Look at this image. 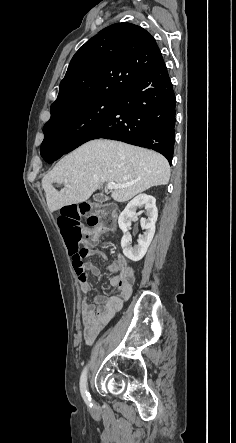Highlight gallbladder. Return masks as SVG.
<instances>
[{"label": "gallbladder", "instance_id": "obj_1", "mask_svg": "<svg viewBox=\"0 0 236 443\" xmlns=\"http://www.w3.org/2000/svg\"><path fill=\"white\" fill-rule=\"evenodd\" d=\"M93 199L97 202H104L107 200V197L101 193L95 194Z\"/></svg>", "mask_w": 236, "mask_h": 443}]
</instances>
